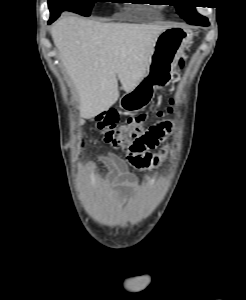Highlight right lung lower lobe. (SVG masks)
<instances>
[{
	"mask_svg": "<svg viewBox=\"0 0 246 300\" xmlns=\"http://www.w3.org/2000/svg\"><path fill=\"white\" fill-rule=\"evenodd\" d=\"M59 16H53V17H50L49 21H48V24H51L53 21H55Z\"/></svg>",
	"mask_w": 246,
	"mask_h": 300,
	"instance_id": "right-lung-lower-lobe-1",
	"label": "right lung lower lobe"
}]
</instances>
